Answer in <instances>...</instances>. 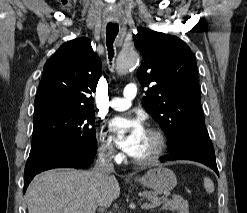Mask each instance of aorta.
Masks as SVG:
<instances>
[{
    "label": "aorta",
    "instance_id": "1",
    "mask_svg": "<svg viewBox=\"0 0 247 213\" xmlns=\"http://www.w3.org/2000/svg\"><path fill=\"white\" fill-rule=\"evenodd\" d=\"M139 63V55L134 50L122 51L120 52L117 63L116 70L119 75L126 74L129 69L135 67Z\"/></svg>",
    "mask_w": 247,
    "mask_h": 213
}]
</instances>
